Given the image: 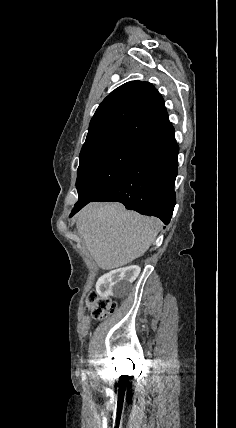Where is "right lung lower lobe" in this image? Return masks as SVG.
<instances>
[{
  "mask_svg": "<svg viewBox=\"0 0 236 428\" xmlns=\"http://www.w3.org/2000/svg\"><path fill=\"white\" fill-rule=\"evenodd\" d=\"M178 152L174 128L167 122L141 140L140 151L127 169L91 201L121 202L127 209L156 216L168 224L176 203ZM86 204L74 208L71 216Z\"/></svg>",
  "mask_w": 236,
  "mask_h": 428,
  "instance_id": "right-lung-lower-lobe-1",
  "label": "right lung lower lobe"
}]
</instances>
